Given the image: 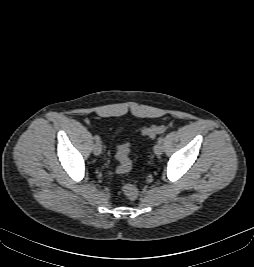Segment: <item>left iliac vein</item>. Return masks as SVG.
I'll list each match as a JSON object with an SVG mask.
<instances>
[{
  "mask_svg": "<svg viewBox=\"0 0 254 267\" xmlns=\"http://www.w3.org/2000/svg\"><path fill=\"white\" fill-rule=\"evenodd\" d=\"M163 152V145L161 143H156L155 146H154V153L156 155H161Z\"/></svg>",
  "mask_w": 254,
  "mask_h": 267,
  "instance_id": "obj_1",
  "label": "left iliac vein"
}]
</instances>
